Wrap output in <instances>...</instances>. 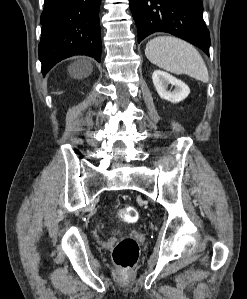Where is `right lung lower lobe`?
Instances as JSON below:
<instances>
[{
  "instance_id": "98d812e1",
  "label": "right lung lower lobe",
  "mask_w": 247,
  "mask_h": 299,
  "mask_svg": "<svg viewBox=\"0 0 247 299\" xmlns=\"http://www.w3.org/2000/svg\"><path fill=\"white\" fill-rule=\"evenodd\" d=\"M101 0H45L41 15V41L38 48L42 73L74 55H87L100 62Z\"/></svg>"
}]
</instances>
